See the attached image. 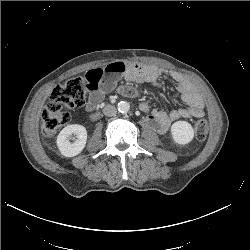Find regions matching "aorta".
Instances as JSON below:
<instances>
[{
	"label": "aorta",
	"mask_w": 250,
	"mask_h": 250,
	"mask_svg": "<svg viewBox=\"0 0 250 250\" xmlns=\"http://www.w3.org/2000/svg\"><path fill=\"white\" fill-rule=\"evenodd\" d=\"M130 110V104L126 101L118 103V111L121 113H127Z\"/></svg>",
	"instance_id": "1"
}]
</instances>
